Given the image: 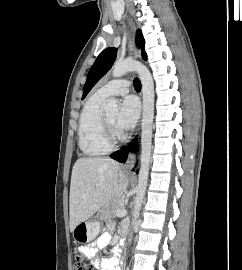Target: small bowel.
<instances>
[{
    "instance_id": "small-bowel-1",
    "label": "small bowel",
    "mask_w": 242,
    "mask_h": 270,
    "mask_svg": "<svg viewBox=\"0 0 242 270\" xmlns=\"http://www.w3.org/2000/svg\"><path fill=\"white\" fill-rule=\"evenodd\" d=\"M126 225L123 226V228ZM111 232L110 230L103 233L94 243L83 247V254L88 258H95L94 264L100 270H121L120 257L118 253H114L109 257L97 259L99 249L105 248L110 244Z\"/></svg>"
}]
</instances>
